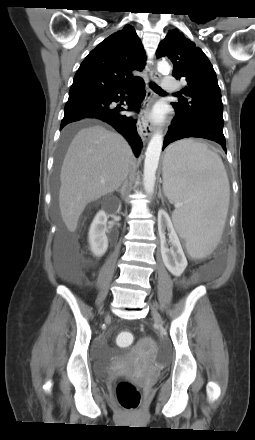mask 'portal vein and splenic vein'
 <instances>
[{
  "label": "portal vein and splenic vein",
  "instance_id": "18ae733b",
  "mask_svg": "<svg viewBox=\"0 0 255 440\" xmlns=\"http://www.w3.org/2000/svg\"><path fill=\"white\" fill-rule=\"evenodd\" d=\"M180 205L179 204H175V207H179Z\"/></svg>",
  "mask_w": 255,
  "mask_h": 440
}]
</instances>
